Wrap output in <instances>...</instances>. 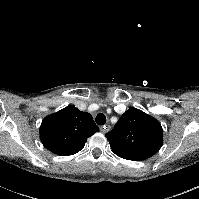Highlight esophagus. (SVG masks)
Wrapping results in <instances>:
<instances>
[{
  "label": "esophagus",
  "mask_w": 199,
  "mask_h": 199,
  "mask_svg": "<svg viewBox=\"0 0 199 199\" xmlns=\"http://www.w3.org/2000/svg\"><path fill=\"white\" fill-rule=\"evenodd\" d=\"M110 130V126L109 125H103L100 127V131L102 133H107Z\"/></svg>",
  "instance_id": "esophagus-1"
}]
</instances>
